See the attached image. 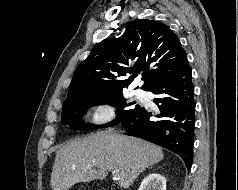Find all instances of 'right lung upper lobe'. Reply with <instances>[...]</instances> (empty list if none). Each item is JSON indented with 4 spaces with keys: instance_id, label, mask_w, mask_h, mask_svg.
<instances>
[{
    "instance_id": "1",
    "label": "right lung upper lobe",
    "mask_w": 238,
    "mask_h": 190,
    "mask_svg": "<svg viewBox=\"0 0 238 190\" xmlns=\"http://www.w3.org/2000/svg\"><path fill=\"white\" fill-rule=\"evenodd\" d=\"M187 54L180 40L165 24L142 19L128 22L122 36L97 44L76 69L66 101L81 94L122 93L136 73L143 71L148 91L181 70ZM132 74L129 79H123Z\"/></svg>"
}]
</instances>
